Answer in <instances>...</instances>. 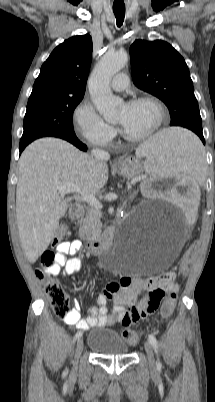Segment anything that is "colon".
<instances>
[{
    "instance_id": "colon-1",
    "label": "colon",
    "mask_w": 215,
    "mask_h": 402,
    "mask_svg": "<svg viewBox=\"0 0 215 402\" xmlns=\"http://www.w3.org/2000/svg\"><path fill=\"white\" fill-rule=\"evenodd\" d=\"M66 234V228L60 226L53 239V245H56ZM197 243H191L186 245L184 248L182 257L185 260H196L198 254L196 250L198 249ZM40 267L36 270V277L41 282L46 294L48 295L51 307L54 313L59 317H64L69 312V299L67 294L62 289V286L55 278V275L49 273L47 270L55 264V253L52 250H46L40 257L39 260ZM173 276L172 272H166L159 275V277L170 278ZM167 298L162 307L161 314L166 317L172 312L174 302L176 299V291H167ZM165 292L156 291L153 294L152 302L147 307V312H153L159 305L160 301L164 297ZM137 314V311H134ZM122 338L129 344H134L139 340V334L132 329H125L121 334Z\"/></svg>"
}]
</instances>
